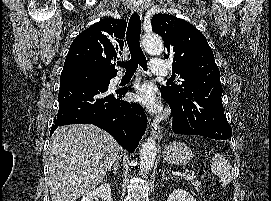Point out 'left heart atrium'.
Returning a JSON list of instances; mask_svg holds the SVG:
<instances>
[{"instance_id":"1","label":"left heart atrium","mask_w":271,"mask_h":201,"mask_svg":"<svg viewBox=\"0 0 271 201\" xmlns=\"http://www.w3.org/2000/svg\"><path fill=\"white\" fill-rule=\"evenodd\" d=\"M136 99L151 112H158L161 109V104L156 98L153 88L150 86H143L138 91Z\"/></svg>"}]
</instances>
